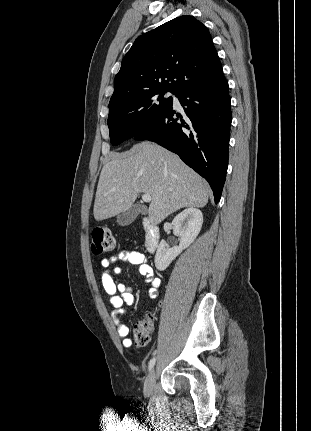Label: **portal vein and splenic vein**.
<instances>
[{"label":"portal vein and splenic vein","instance_id":"obj_1","mask_svg":"<svg viewBox=\"0 0 311 431\" xmlns=\"http://www.w3.org/2000/svg\"><path fill=\"white\" fill-rule=\"evenodd\" d=\"M141 198L143 202H151L152 200L151 196H147V194H142Z\"/></svg>","mask_w":311,"mask_h":431}]
</instances>
